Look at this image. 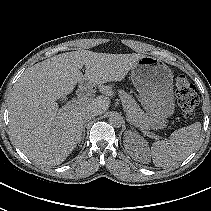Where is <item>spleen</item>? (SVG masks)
I'll return each mask as SVG.
<instances>
[{
    "label": "spleen",
    "mask_w": 211,
    "mask_h": 211,
    "mask_svg": "<svg viewBox=\"0 0 211 211\" xmlns=\"http://www.w3.org/2000/svg\"><path fill=\"white\" fill-rule=\"evenodd\" d=\"M201 123L178 129L171 133L169 140L156 141L152 144L150 154L156 167H170L192 154L198 147Z\"/></svg>",
    "instance_id": "3e777b00"
}]
</instances>
